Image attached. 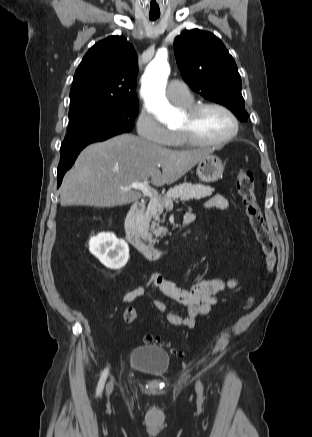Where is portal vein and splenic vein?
Wrapping results in <instances>:
<instances>
[{
	"instance_id": "1",
	"label": "portal vein and splenic vein",
	"mask_w": 312,
	"mask_h": 437,
	"mask_svg": "<svg viewBox=\"0 0 312 437\" xmlns=\"http://www.w3.org/2000/svg\"><path fill=\"white\" fill-rule=\"evenodd\" d=\"M123 190L136 189L140 190L144 195L148 196L151 200H156L158 197L157 191L149 186L148 181L144 182H133L129 186L122 187ZM173 208L171 205L170 209Z\"/></svg>"
}]
</instances>
